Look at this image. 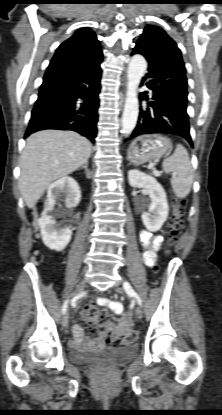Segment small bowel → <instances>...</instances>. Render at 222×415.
Masks as SVG:
<instances>
[{"label": "small bowel", "mask_w": 222, "mask_h": 415, "mask_svg": "<svg viewBox=\"0 0 222 415\" xmlns=\"http://www.w3.org/2000/svg\"><path fill=\"white\" fill-rule=\"evenodd\" d=\"M163 238L161 235H154L151 232L144 231L140 236V242L142 247L144 248V259L145 263L149 266L154 265L156 261V252L159 248ZM105 303H108L111 308L117 313L121 314V304L118 302H108L104 301ZM128 322L127 316H122L118 323L123 324ZM73 333H74V339L72 341V345L74 346H81V345H102L104 343V339L102 336L97 337L95 340L92 341H86L84 340V333L83 329L80 325L76 324L73 327Z\"/></svg>", "instance_id": "1"}]
</instances>
